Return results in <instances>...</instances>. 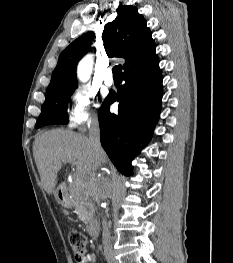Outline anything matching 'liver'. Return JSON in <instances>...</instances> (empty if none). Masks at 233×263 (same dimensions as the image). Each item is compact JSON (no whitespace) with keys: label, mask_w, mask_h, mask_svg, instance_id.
<instances>
[{"label":"liver","mask_w":233,"mask_h":263,"mask_svg":"<svg viewBox=\"0 0 233 263\" xmlns=\"http://www.w3.org/2000/svg\"><path fill=\"white\" fill-rule=\"evenodd\" d=\"M33 154L42 188L48 194L56 193L57 174L63 163L75 164L77 177L81 181L91 180L96 170L107 163L103 150L99 163L96 162L87 136L61 129L39 134L34 142Z\"/></svg>","instance_id":"1"}]
</instances>
